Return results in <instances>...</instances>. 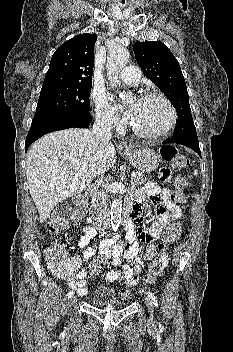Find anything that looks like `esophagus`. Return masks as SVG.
<instances>
[{
    "instance_id": "34e87169",
    "label": "esophagus",
    "mask_w": 233,
    "mask_h": 352,
    "mask_svg": "<svg viewBox=\"0 0 233 352\" xmlns=\"http://www.w3.org/2000/svg\"><path fill=\"white\" fill-rule=\"evenodd\" d=\"M119 147H120V148H128V145H127V143H125V142H121V143L119 144Z\"/></svg>"
}]
</instances>
